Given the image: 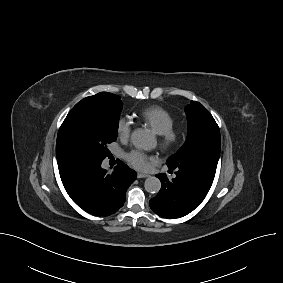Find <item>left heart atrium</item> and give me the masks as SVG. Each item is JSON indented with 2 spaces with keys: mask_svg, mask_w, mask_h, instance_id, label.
I'll use <instances>...</instances> for the list:
<instances>
[{
  "mask_svg": "<svg viewBox=\"0 0 283 283\" xmlns=\"http://www.w3.org/2000/svg\"><path fill=\"white\" fill-rule=\"evenodd\" d=\"M125 158L133 167L146 170L149 168L152 157L140 149H132L125 154Z\"/></svg>",
  "mask_w": 283,
  "mask_h": 283,
  "instance_id": "obj_1",
  "label": "left heart atrium"
}]
</instances>
